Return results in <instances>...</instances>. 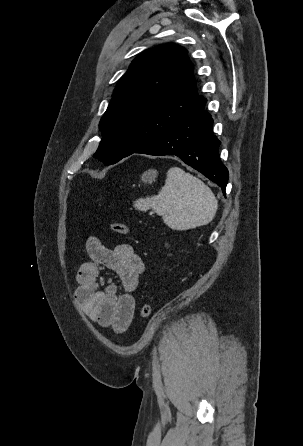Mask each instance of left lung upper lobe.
Returning a JSON list of instances; mask_svg holds the SVG:
<instances>
[{"label":"left lung upper lobe","instance_id":"left-lung-upper-lobe-1","mask_svg":"<svg viewBox=\"0 0 303 446\" xmlns=\"http://www.w3.org/2000/svg\"><path fill=\"white\" fill-rule=\"evenodd\" d=\"M193 67L176 44L135 58L100 121L103 137L94 156L111 165L169 133L201 97Z\"/></svg>","mask_w":303,"mask_h":446}]
</instances>
